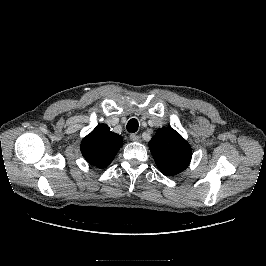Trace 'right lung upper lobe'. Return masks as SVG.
I'll return each instance as SVG.
<instances>
[{"label": "right lung upper lobe", "instance_id": "right-lung-upper-lobe-1", "mask_svg": "<svg viewBox=\"0 0 266 266\" xmlns=\"http://www.w3.org/2000/svg\"><path fill=\"white\" fill-rule=\"evenodd\" d=\"M123 145L120 135L110 131L105 124H99L81 142V152L86 161L98 168L107 167Z\"/></svg>", "mask_w": 266, "mask_h": 266}]
</instances>
